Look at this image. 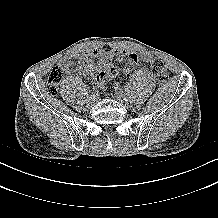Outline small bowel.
<instances>
[{"instance_id":"c3829d8e","label":"small bowel","mask_w":218,"mask_h":218,"mask_svg":"<svg viewBox=\"0 0 218 218\" xmlns=\"http://www.w3.org/2000/svg\"><path fill=\"white\" fill-rule=\"evenodd\" d=\"M73 59H76L78 62L77 71L90 79L94 84L97 77L96 73L110 67L113 59H117L118 61L126 60L123 67V73L127 74L134 69L139 59L144 62H149L151 55L147 52H140L137 54L119 48L77 51L62 58L59 61L58 66L63 71L67 72L71 69Z\"/></svg>"}]
</instances>
